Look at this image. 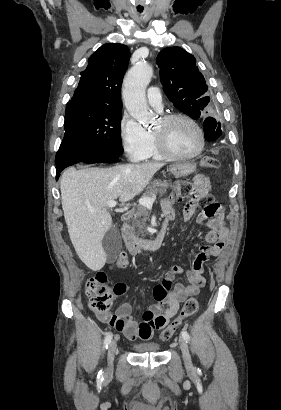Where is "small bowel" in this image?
<instances>
[{
	"label": "small bowel",
	"mask_w": 281,
	"mask_h": 410,
	"mask_svg": "<svg viewBox=\"0 0 281 410\" xmlns=\"http://www.w3.org/2000/svg\"><path fill=\"white\" fill-rule=\"evenodd\" d=\"M194 186L196 195L186 202L184 206V218L190 220L196 212V202L200 196L210 194L211 183L207 176L197 174L194 177ZM182 200L179 194H173L164 198L161 202L163 214L166 216L164 225L174 218L173 205L175 202ZM197 223L207 226L210 231L206 235L207 245L201 247L199 254L195 257L192 268L185 271L180 266H172L165 274L163 281L155 285L152 290V298L156 304L151 305L143 314L141 321H136L131 315V305L122 303L115 315L101 316L105 322L114 317L124 322L123 326L117 327L128 340H149L153 336L155 329H162L168 321L177 313L180 303L188 296L197 294L205 284L204 264L209 257L219 256L225 245L228 235V229L224 223L223 217H209L205 213L197 217ZM177 275H184L186 282L174 283ZM115 295H124L129 292L127 286L123 283H117ZM164 307V308H163Z\"/></svg>",
	"instance_id": "obj_1"
}]
</instances>
